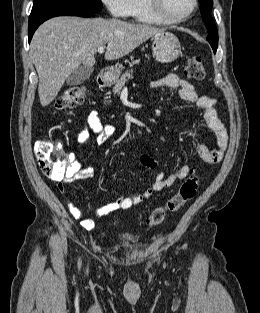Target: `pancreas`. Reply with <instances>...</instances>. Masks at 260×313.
I'll list each match as a JSON object with an SVG mask.
<instances>
[{
    "instance_id": "obj_1",
    "label": "pancreas",
    "mask_w": 260,
    "mask_h": 313,
    "mask_svg": "<svg viewBox=\"0 0 260 313\" xmlns=\"http://www.w3.org/2000/svg\"><path fill=\"white\" fill-rule=\"evenodd\" d=\"M132 73H133V70H128L126 71L124 74H122V76L120 77V79H118L116 81V84L115 86L113 87L112 89V92L114 94H120L121 90L123 89V87L125 86V83L132 78ZM108 102V101H106Z\"/></svg>"
}]
</instances>
